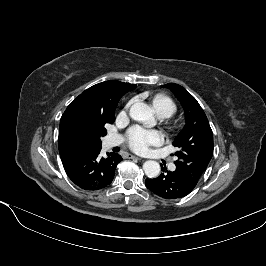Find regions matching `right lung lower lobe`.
I'll list each match as a JSON object with an SVG mask.
<instances>
[{"mask_svg": "<svg viewBox=\"0 0 266 266\" xmlns=\"http://www.w3.org/2000/svg\"><path fill=\"white\" fill-rule=\"evenodd\" d=\"M101 147L79 153L63 162L71 181L84 190H99L114 179L115 169L122 157L117 153H107L100 157Z\"/></svg>", "mask_w": 266, "mask_h": 266, "instance_id": "right-lung-lower-lobe-1", "label": "right lung lower lobe"}]
</instances>
